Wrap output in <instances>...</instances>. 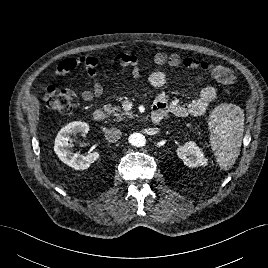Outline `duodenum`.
Masks as SVG:
<instances>
[{
	"label": "duodenum",
	"mask_w": 268,
	"mask_h": 268,
	"mask_svg": "<svg viewBox=\"0 0 268 268\" xmlns=\"http://www.w3.org/2000/svg\"><path fill=\"white\" fill-rule=\"evenodd\" d=\"M162 117L163 114L161 112H154L152 113L150 120L152 123L157 124L162 120ZM93 119L97 122L102 121L104 119V112L100 109L95 110L93 112Z\"/></svg>",
	"instance_id": "410a0bca"
}]
</instances>
